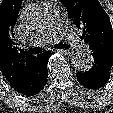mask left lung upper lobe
<instances>
[{
  "mask_svg": "<svg viewBox=\"0 0 113 113\" xmlns=\"http://www.w3.org/2000/svg\"><path fill=\"white\" fill-rule=\"evenodd\" d=\"M73 23L83 30L81 39L93 52L113 57V32L110 19L98 0H61Z\"/></svg>",
  "mask_w": 113,
  "mask_h": 113,
  "instance_id": "5c2ea615",
  "label": "left lung upper lobe"
}]
</instances>
